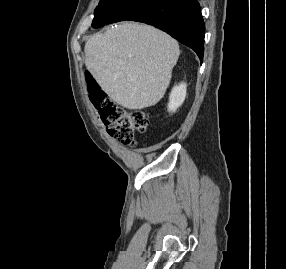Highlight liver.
I'll use <instances>...</instances> for the list:
<instances>
[{
	"instance_id": "liver-1",
	"label": "liver",
	"mask_w": 286,
	"mask_h": 269,
	"mask_svg": "<svg viewBox=\"0 0 286 269\" xmlns=\"http://www.w3.org/2000/svg\"><path fill=\"white\" fill-rule=\"evenodd\" d=\"M179 45L149 25L124 22L85 45V65L111 100L127 109L154 106L164 96Z\"/></svg>"
}]
</instances>
